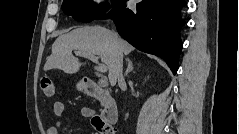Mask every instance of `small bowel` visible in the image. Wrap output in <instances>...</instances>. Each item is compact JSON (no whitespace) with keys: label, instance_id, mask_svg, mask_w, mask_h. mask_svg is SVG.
<instances>
[{"label":"small bowel","instance_id":"small-bowel-1","mask_svg":"<svg viewBox=\"0 0 239 134\" xmlns=\"http://www.w3.org/2000/svg\"><path fill=\"white\" fill-rule=\"evenodd\" d=\"M53 112L54 115L58 118L56 123L49 127L46 131L47 134H60V128H61V121L60 118L65 112V105L64 103L58 101L55 102L53 105ZM81 114L84 118H91L94 116V110L91 107H83L81 109Z\"/></svg>","mask_w":239,"mask_h":134}]
</instances>
